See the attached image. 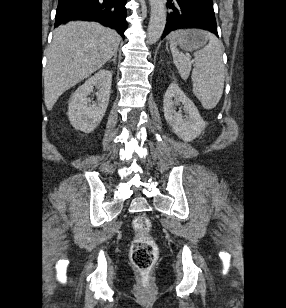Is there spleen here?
Segmentation results:
<instances>
[{
    "mask_svg": "<svg viewBox=\"0 0 286 308\" xmlns=\"http://www.w3.org/2000/svg\"><path fill=\"white\" fill-rule=\"evenodd\" d=\"M183 30L174 32V36L183 34ZM209 43L194 53V69L191 80L193 93L205 109H213L220 101L224 89V65L221 42L212 33L203 31ZM173 61L182 79L186 80L191 71L192 61L179 52L174 37L170 40Z\"/></svg>",
    "mask_w": 286,
    "mask_h": 308,
    "instance_id": "obj_1",
    "label": "spleen"
}]
</instances>
